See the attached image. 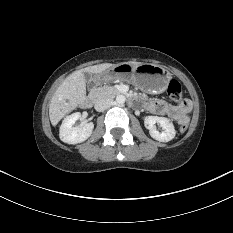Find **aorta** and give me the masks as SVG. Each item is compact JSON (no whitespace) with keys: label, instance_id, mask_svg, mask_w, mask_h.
<instances>
[{"label":"aorta","instance_id":"762f6f07","mask_svg":"<svg viewBox=\"0 0 233 233\" xmlns=\"http://www.w3.org/2000/svg\"><path fill=\"white\" fill-rule=\"evenodd\" d=\"M125 101H126V98H125L124 95H118V96L116 97V103H118V104H124Z\"/></svg>","mask_w":233,"mask_h":233}]
</instances>
